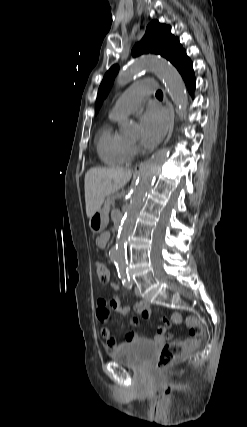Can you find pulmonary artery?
Masks as SVG:
<instances>
[{
    "label": "pulmonary artery",
    "instance_id": "1",
    "mask_svg": "<svg viewBox=\"0 0 247 427\" xmlns=\"http://www.w3.org/2000/svg\"><path fill=\"white\" fill-rule=\"evenodd\" d=\"M155 89L153 82L147 81L134 84L125 90L110 110V117L114 118L120 114H128L136 110L145 96L151 94Z\"/></svg>",
    "mask_w": 247,
    "mask_h": 427
}]
</instances>
